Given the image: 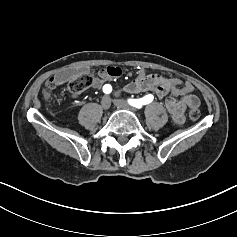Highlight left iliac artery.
Masks as SVG:
<instances>
[{
    "label": "left iliac artery",
    "instance_id": "obj_1",
    "mask_svg": "<svg viewBox=\"0 0 237 237\" xmlns=\"http://www.w3.org/2000/svg\"><path fill=\"white\" fill-rule=\"evenodd\" d=\"M153 95L148 94L146 96H144L143 98L140 99H129L128 103L133 106L136 107L138 109L142 108V105H146L149 104L153 101Z\"/></svg>",
    "mask_w": 237,
    "mask_h": 237
}]
</instances>
